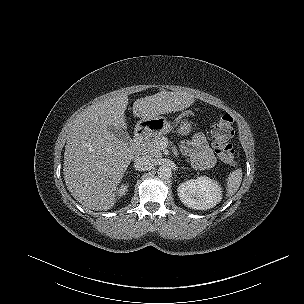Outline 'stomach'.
<instances>
[{
  "instance_id": "0dacf381",
  "label": "stomach",
  "mask_w": 304,
  "mask_h": 304,
  "mask_svg": "<svg viewBox=\"0 0 304 304\" xmlns=\"http://www.w3.org/2000/svg\"><path fill=\"white\" fill-rule=\"evenodd\" d=\"M159 128H150L149 125H142L146 121H140L137 124V129H142L145 135L156 136L157 134H176L178 136H188L193 130L192 122L188 119H182L180 122L173 124L166 120L164 117H159Z\"/></svg>"
}]
</instances>
